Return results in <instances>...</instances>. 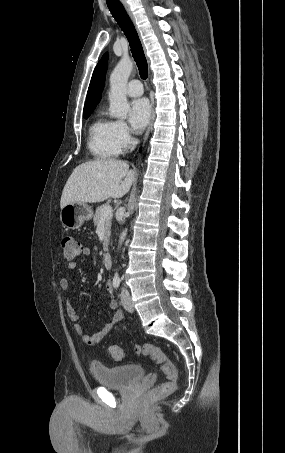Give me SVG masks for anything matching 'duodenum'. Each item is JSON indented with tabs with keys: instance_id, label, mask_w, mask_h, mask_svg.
I'll return each instance as SVG.
<instances>
[{
	"instance_id": "1",
	"label": "duodenum",
	"mask_w": 285,
	"mask_h": 453,
	"mask_svg": "<svg viewBox=\"0 0 285 453\" xmlns=\"http://www.w3.org/2000/svg\"><path fill=\"white\" fill-rule=\"evenodd\" d=\"M103 264L106 268H110L112 265V256L110 253L106 252L102 257Z\"/></svg>"
}]
</instances>
